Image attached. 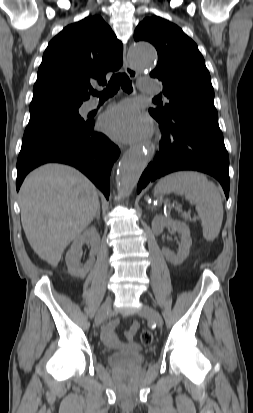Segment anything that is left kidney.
I'll return each instance as SVG.
<instances>
[{
	"label": "left kidney",
	"instance_id": "obj_1",
	"mask_svg": "<svg viewBox=\"0 0 253 413\" xmlns=\"http://www.w3.org/2000/svg\"><path fill=\"white\" fill-rule=\"evenodd\" d=\"M165 227H170L181 235V242L177 254L170 251L168 248H163L162 252L167 261L174 265H180L188 257L189 250L192 245L189 227L177 220L165 218L162 215H156L152 221V230L155 234H161Z\"/></svg>",
	"mask_w": 253,
	"mask_h": 413
}]
</instances>
